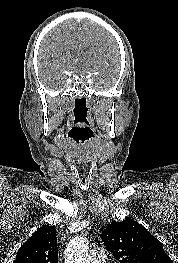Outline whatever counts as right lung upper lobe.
Returning <instances> with one entry per match:
<instances>
[{
    "instance_id": "cb5924a9",
    "label": "right lung upper lobe",
    "mask_w": 178,
    "mask_h": 263,
    "mask_svg": "<svg viewBox=\"0 0 178 263\" xmlns=\"http://www.w3.org/2000/svg\"><path fill=\"white\" fill-rule=\"evenodd\" d=\"M13 263H58L55 226L38 228L19 248Z\"/></svg>"
}]
</instances>
